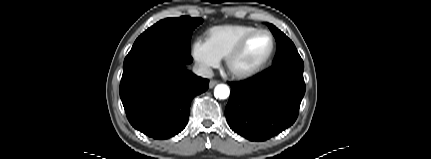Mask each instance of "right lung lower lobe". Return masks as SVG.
<instances>
[{
  "mask_svg": "<svg viewBox=\"0 0 431 159\" xmlns=\"http://www.w3.org/2000/svg\"><path fill=\"white\" fill-rule=\"evenodd\" d=\"M192 60L190 52L171 43L131 49L123 64L120 97L135 129L153 139H168L185 128L192 99L209 83L186 69Z\"/></svg>",
  "mask_w": 431,
  "mask_h": 159,
  "instance_id": "1",
  "label": "right lung lower lobe"
}]
</instances>
